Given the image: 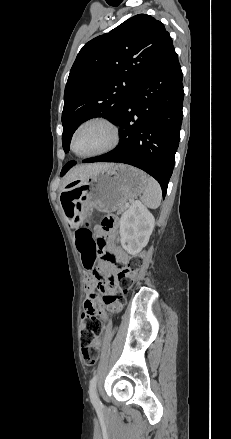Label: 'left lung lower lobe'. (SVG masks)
Instances as JSON below:
<instances>
[{
	"label": "left lung lower lobe",
	"instance_id": "0a47b994",
	"mask_svg": "<svg viewBox=\"0 0 231 439\" xmlns=\"http://www.w3.org/2000/svg\"><path fill=\"white\" fill-rule=\"evenodd\" d=\"M182 77L172 47L141 78L125 102L115 122L121 129L120 144L105 155L83 162H120L140 168L159 182L164 198L180 140ZM75 164L71 161L68 169Z\"/></svg>",
	"mask_w": 231,
	"mask_h": 439
}]
</instances>
